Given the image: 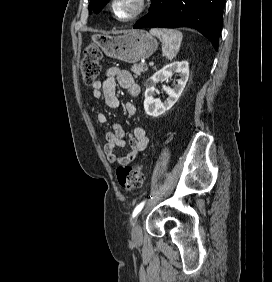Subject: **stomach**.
Here are the masks:
<instances>
[{
    "label": "stomach",
    "instance_id": "stomach-1",
    "mask_svg": "<svg viewBox=\"0 0 272 282\" xmlns=\"http://www.w3.org/2000/svg\"><path fill=\"white\" fill-rule=\"evenodd\" d=\"M92 39L106 55L127 63L149 58L158 47L157 40L145 30H133L120 36L94 35Z\"/></svg>",
    "mask_w": 272,
    "mask_h": 282
}]
</instances>
